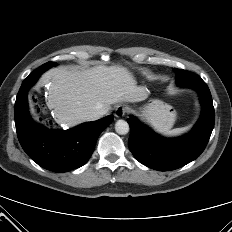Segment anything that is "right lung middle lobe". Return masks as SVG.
Returning <instances> with one entry per match:
<instances>
[{
	"label": "right lung middle lobe",
	"instance_id": "right-lung-middle-lobe-1",
	"mask_svg": "<svg viewBox=\"0 0 232 232\" xmlns=\"http://www.w3.org/2000/svg\"><path fill=\"white\" fill-rule=\"evenodd\" d=\"M55 65H56L55 62H48V63L40 66L39 68H37L26 79L30 80V79H33V78H38L44 71H46L47 69H49L50 67L55 66Z\"/></svg>",
	"mask_w": 232,
	"mask_h": 232
}]
</instances>
